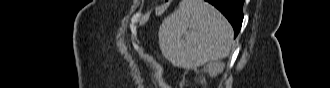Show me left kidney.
<instances>
[{
  "mask_svg": "<svg viewBox=\"0 0 330 88\" xmlns=\"http://www.w3.org/2000/svg\"><path fill=\"white\" fill-rule=\"evenodd\" d=\"M225 64L221 61L210 62L204 67V71L207 72L211 77H216L218 74L222 73Z\"/></svg>",
  "mask_w": 330,
  "mask_h": 88,
  "instance_id": "5707ae66",
  "label": "left kidney"
}]
</instances>
